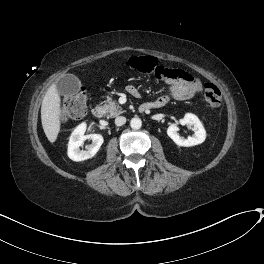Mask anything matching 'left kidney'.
I'll return each instance as SVG.
<instances>
[{
	"instance_id": "5707ae66",
	"label": "left kidney",
	"mask_w": 264,
	"mask_h": 264,
	"mask_svg": "<svg viewBox=\"0 0 264 264\" xmlns=\"http://www.w3.org/2000/svg\"><path fill=\"white\" fill-rule=\"evenodd\" d=\"M181 124H187L192 126L194 131L193 136H189L188 138H184L179 136L178 134V126L177 124H171L167 129V135L179 146L190 147L201 144L206 139V131L203 127V124L199 120V118L192 114L187 113L180 119L179 121Z\"/></svg>"
}]
</instances>
